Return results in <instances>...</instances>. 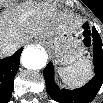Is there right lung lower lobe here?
Here are the masks:
<instances>
[{
	"instance_id": "obj_1",
	"label": "right lung lower lobe",
	"mask_w": 103,
	"mask_h": 103,
	"mask_svg": "<svg viewBox=\"0 0 103 103\" xmlns=\"http://www.w3.org/2000/svg\"><path fill=\"white\" fill-rule=\"evenodd\" d=\"M21 52L22 48L14 55L0 60V93L6 98L13 90V81L19 67Z\"/></svg>"
}]
</instances>
